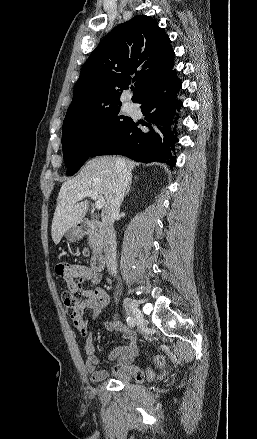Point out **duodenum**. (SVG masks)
I'll use <instances>...</instances> for the list:
<instances>
[{"mask_svg":"<svg viewBox=\"0 0 257 439\" xmlns=\"http://www.w3.org/2000/svg\"><path fill=\"white\" fill-rule=\"evenodd\" d=\"M79 236L89 235L91 244L94 249V254L91 258V268L100 272L105 265V258L103 255L104 248V226L98 220H83L78 224Z\"/></svg>","mask_w":257,"mask_h":439,"instance_id":"duodenum-1","label":"duodenum"}]
</instances>
